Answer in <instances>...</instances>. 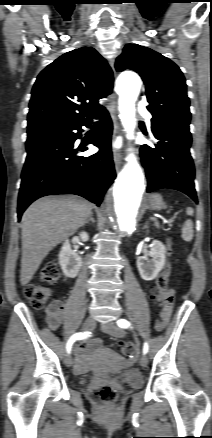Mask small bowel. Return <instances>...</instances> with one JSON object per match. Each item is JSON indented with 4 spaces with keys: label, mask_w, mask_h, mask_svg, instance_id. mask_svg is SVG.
Returning a JSON list of instances; mask_svg holds the SVG:
<instances>
[{
    "label": "small bowel",
    "mask_w": 212,
    "mask_h": 438,
    "mask_svg": "<svg viewBox=\"0 0 212 438\" xmlns=\"http://www.w3.org/2000/svg\"><path fill=\"white\" fill-rule=\"evenodd\" d=\"M174 296V290H168L165 294L156 299L159 308L155 323L157 331H162L169 322L174 305ZM64 310L65 305L62 301L56 300L49 305L46 310L45 322L50 329L56 330L59 328L63 320ZM87 348L88 345L86 344H81L78 348L77 363L73 370L75 374H82L89 368L90 363L87 355ZM90 348L96 351L99 350L101 346L98 342H95L90 345Z\"/></svg>",
    "instance_id": "obj_1"
}]
</instances>
